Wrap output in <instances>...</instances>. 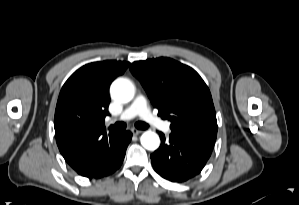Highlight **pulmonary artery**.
<instances>
[{
	"instance_id": "e3ab8cb5",
	"label": "pulmonary artery",
	"mask_w": 299,
	"mask_h": 205,
	"mask_svg": "<svg viewBox=\"0 0 299 205\" xmlns=\"http://www.w3.org/2000/svg\"><path fill=\"white\" fill-rule=\"evenodd\" d=\"M136 116L142 118L147 124L159 128L166 133L171 131L170 122L163 121L154 115L147 105L146 98L142 95L135 98L132 104L121 114L120 119L130 120Z\"/></svg>"
}]
</instances>
